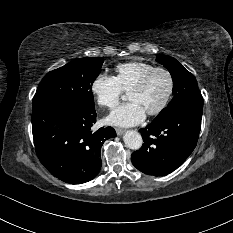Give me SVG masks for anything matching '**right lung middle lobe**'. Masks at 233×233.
<instances>
[{"label":"right lung middle lobe","mask_w":233,"mask_h":233,"mask_svg":"<svg viewBox=\"0 0 233 233\" xmlns=\"http://www.w3.org/2000/svg\"><path fill=\"white\" fill-rule=\"evenodd\" d=\"M101 57L79 58L46 74L33 98L36 104H66L94 111L92 83L101 72Z\"/></svg>","instance_id":"obj_1"}]
</instances>
